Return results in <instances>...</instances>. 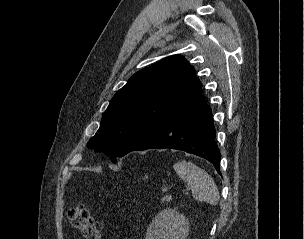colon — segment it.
I'll use <instances>...</instances> for the list:
<instances>
[{
    "instance_id": "colon-1",
    "label": "colon",
    "mask_w": 304,
    "mask_h": 239,
    "mask_svg": "<svg viewBox=\"0 0 304 239\" xmlns=\"http://www.w3.org/2000/svg\"><path fill=\"white\" fill-rule=\"evenodd\" d=\"M68 220L71 226L86 238L100 239L103 223L95 220L84 204L76 205L69 209Z\"/></svg>"
}]
</instances>
